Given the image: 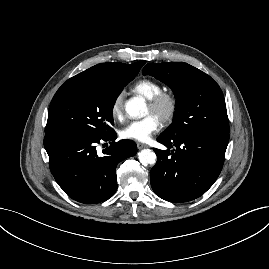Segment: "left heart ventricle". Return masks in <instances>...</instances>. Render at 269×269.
Here are the masks:
<instances>
[{"instance_id":"left-heart-ventricle-1","label":"left heart ventricle","mask_w":269,"mask_h":269,"mask_svg":"<svg viewBox=\"0 0 269 269\" xmlns=\"http://www.w3.org/2000/svg\"><path fill=\"white\" fill-rule=\"evenodd\" d=\"M147 114H152V112L150 111L149 107H147V111H146ZM154 115V114H153ZM156 116V115H155Z\"/></svg>"}]
</instances>
